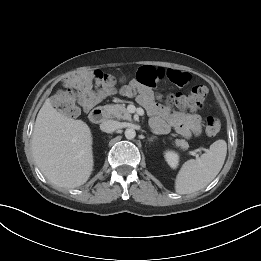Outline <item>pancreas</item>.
I'll return each instance as SVG.
<instances>
[{
    "label": "pancreas",
    "instance_id": "1",
    "mask_svg": "<svg viewBox=\"0 0 261 261\" xmlns=\"http://www.w3.org/2000/svg\"><path fill=\"white\" fill-rule=\"evenodd\" d=\"M104 109L108 112L109 117L130 120L131 114L125 108L124 105L114 104V105H105ZM151 128L155 131V122L154 120L150 121ZM175 145L180 147L182 150H187L189 148V144L184 139H176Z\"/></svg>",
    "mask_w": 261,
    "mask_h": 261
}]
</instances>
